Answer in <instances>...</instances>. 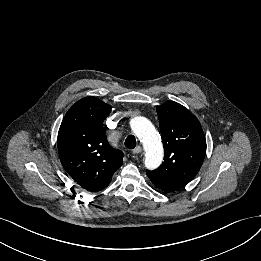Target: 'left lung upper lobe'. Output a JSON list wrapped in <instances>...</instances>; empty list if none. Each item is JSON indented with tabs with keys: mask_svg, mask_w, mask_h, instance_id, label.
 <instances>
[{
	"mask_svg": "<svg viewBox=\"0 0 261 261\" xmlns=\"http://www.w3.org/2000/svg\"><path fill=\"white\" fill-rule=\"evenodd\" d=\"M157 114L165 156L161 166L147 175L159 189L173 192L198 173L206 154V139L197 118L181 104L168 101L157 107Z\"/></svg>",
	"mask_w": 261,
	"mask_h": 261,
	"instance_id": "1",
	"label": "left lung upper lobe"
}]
</instances>
